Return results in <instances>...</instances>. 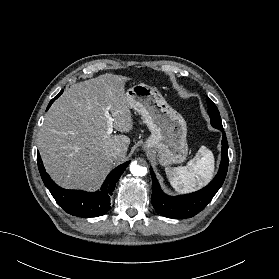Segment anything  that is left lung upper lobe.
<instances>
[{
	"label": "left lung upper lobe",
	"mask_w": 279,
	"mask_h": 279,
	"mask_svg": "<svg viewBox=\"0 0 279 279\" xmlns=\"http://www.w3.org/2000/svg\"><path fill=\"white\" fill-rule=\"evenodd\" d=\"M207 102H208V113L210 115L212 126L218 129H222L223 128L222 121L216 105L209 98L207 99Z\"/></svg>",
	"instance_id": "obj_1"
}]
</instances>
